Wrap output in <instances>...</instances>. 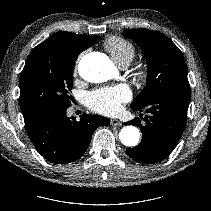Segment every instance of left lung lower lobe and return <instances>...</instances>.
<instances>
[{
  "label": "left lung lower lobe",
  "instance_id": "left-lung-lower-lobe-1",
  "mask_svg": "<svg viewBox=\"0 0 211 211\" xmlns=\"http://www.w3.org/2000/svg\"><path fill=\"white\" fill-rule=\"evenodd\" d=\"M190 95V89H172L143 107L132 108L140 112L145 109L150 115L144 118V126L141 124L142 116L128 122L140 127L142 140L136 147L126 149L127 155L145 164L157 163L168 157L184 131Z\"/></svg>",
  "mask_w": 211,
  "mask_h": 211
}]
</instances>
